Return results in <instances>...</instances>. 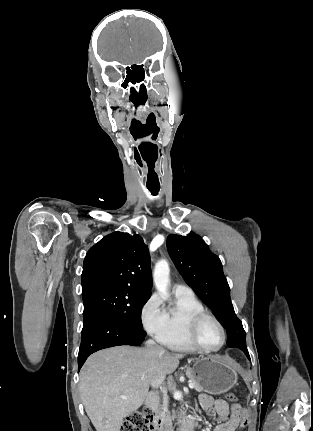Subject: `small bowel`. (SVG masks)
Returning <instances> with one entry per match:
<instances>
[{
    "label": "small bowel",
    "instance_id": "obj_1",
    "mask_svg": "<svg viewBox=\"0 0 313 431\" xmlns=\"http://www.w3.org/2000/svg\"><path fill=\"white\" fill-rule=\"evenodd\" d=\"M203 409L210 411V416L216 422L213 431H236L248 425L246 411L237 403L229 405L223 399L214 400L206 394L199 397Z\"/></svg>",
    "mask_w": 313,
    "mask_h": 431
}]
</instances>
